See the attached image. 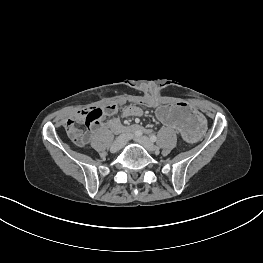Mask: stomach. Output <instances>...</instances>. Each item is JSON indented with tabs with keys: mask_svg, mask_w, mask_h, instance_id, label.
<instances>
[{
	"mask_svg": "<svg viewBox=\"0 0 263 263\" xmlns=\"http://www.w3.org/2000/svg\"><path fill=\"white\" fill-rule=\"evenodd\" d=\"M156 122L179 132L182 140L195 144L201 140L206 130L203 116L183 103H162L154 111Z\"/></svg>",
	"mask_w": 263,
	"mask_h": 263,
	"instance_id": "1",
	"label": "stomach"
}]
</instances>
